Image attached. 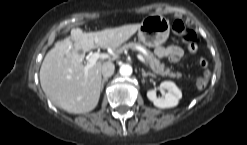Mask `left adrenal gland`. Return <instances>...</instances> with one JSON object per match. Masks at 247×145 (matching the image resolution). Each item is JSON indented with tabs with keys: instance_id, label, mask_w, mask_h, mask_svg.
<instances>
[{
	"instance_id": "a2214340",
	"label": "left adrenal gland",
	"mask_w": 247,
	"mask_h": 145,
	"mask_svg": "<svg viewBox=\"0 0 247 145\" xmlns=\"http://www.w3.org/2000/svg\"><path fill=\"white\" fill-rule=\"evenodd\" d=\"M142 76L143 77H147V76H151V77H155V75L154 74H152V73H146L143 69H142Z\"/></svg>"
}]
</instances>
